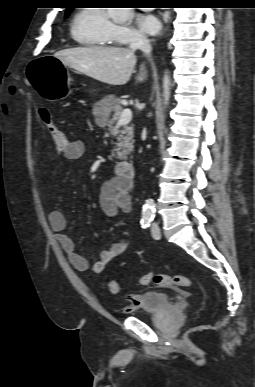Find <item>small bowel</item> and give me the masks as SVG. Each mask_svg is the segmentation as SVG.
Instances as JSON below:
<instances>
[{
	"mask_svg": "<svg viewBox=\"0 0 255 387\" xmlns=\"http://www.w3.org/2000/svg\"><path fill=\"white\" fill-rule=\"evenodd\" d=\"M85 152V144L81 140L69 141L65 152L60 153V157L66 161L79 159ZM130 183L124 182L118 177H114L105 182L100 191L99 203L103 213L107 217H114L119 211L128 212L131 209ZM51 229L56 235L57 241L68 257L71 265L78 271L91 270L93 274H101L106 265L112 260L124 255L130 247L127 237L121 236L115 240L109 248L103 250L99 260L91 266L89 261L79 254L75 248L73 240L66 231V218L58 210L51 211L48 216ZM140 303L139 297L131 296L126 310H130Z\"/></svg>",
	"mask_w": 255,
	"mask_h": 387,
	"instance_id": "small-bowel-1",
	"label": "small bowel"
}]
</instances>
